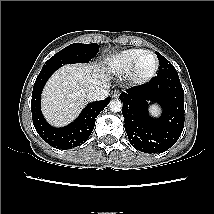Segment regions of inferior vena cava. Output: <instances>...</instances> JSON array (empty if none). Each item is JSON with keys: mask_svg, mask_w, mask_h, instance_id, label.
I'll return each instance as SVG.
<instances>
[{"mask_svg": "<svg viewBox=\"0 0 214 214\" xmlns=\"http://www.w3.org/2000/svg\"><path fill=\"white\" fill-rule=\"evenodd\" d=\"M110 86L106 83L100 86H91L86 89V98L90 101L104 100L108 97V88Z\"/></svg>", "mask_w": 214, "mask_h": 214, "instance_id": "obj_1", "label": "inferior vena cava"}]
</instances>
